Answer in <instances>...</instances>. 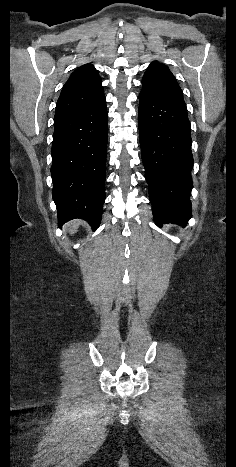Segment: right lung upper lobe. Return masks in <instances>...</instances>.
Masks as SVG:
<instances>
[{
	"label": "right lung upper lobe",
	"mask_w": 236,
	"mask_h": 467,
	"mask_svg": "<svg viewBox=\"0 0 236 467\" xmlns=\"http://www.w3.org/2000/svg\"><path fill=\"white\" fill-rule=\"evenodd\" d=\"M104 98L101 78L94 66L76 69L65 83L57 102L54 123L73 117Z\"/></svg>",
	"instance_id": "1"
}]
</instances>
